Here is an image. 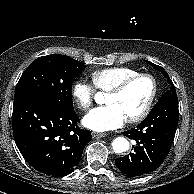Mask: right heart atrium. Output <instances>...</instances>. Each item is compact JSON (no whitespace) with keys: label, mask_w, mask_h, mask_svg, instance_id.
<instances>
[{"label":"right heart atrium","mask_w":194,"mask_h":194,"mask_svg":"<svg viewBox=\"0 0 194 194\" xmlns=\"http://www.w3.org/2000/svg\"><path fill=\"white\" fill-rule=\"evenodd\" d=\"M94 93L93 85L83 78L75 80L71 88L72 99L82 110H87L92 105Z\"/></svg>","instance_id":"1"}]
</instances>
